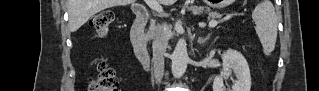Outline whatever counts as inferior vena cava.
Wrapping results in <instances>:
<instances>
[{
	"mask_svg": "<svg viewBox=\"0 0 319 91\" xmlns=\"http://www.w3.org/2000/svg\"><path fill=\"white\" fill-rule=\"evenodd\" d=\"M168 31L169 29L166 23L158 25L152 43L154 77L157 83L161 82L164 74V57L167 49Z\"/></svg>",
	"mask_w": 319,
	"mask_h": 91,
	"instance_id": "602c4592",
	"label": "inferior vena cava"
}]
</instances>
